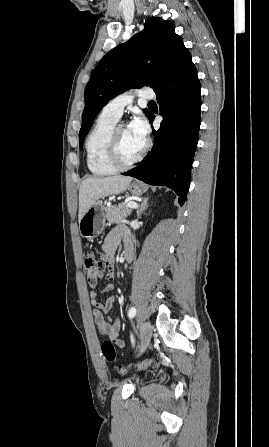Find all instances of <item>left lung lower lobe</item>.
<instances>
[{
  "label": "left lung lower lobe",
  "instance_id": "0a47b994",
  "mask_svg": "<svg viewBox=\"0 0 269 447\" xmlns=\"http://www.w3.org/2000/svg\"><path fill=\"white\" fill-rule=\"evenodd\" d=\"M156 95L164 120L158 131L153 129L155 144L142 164L123 175L151 185H165L175 191L183 205L201 122L200 81L187 49ZM147 117L152 123L155 116L150 113Z\"/></svg>",
  "mask_w": 269,
  "mask_h": 447
}]
</instances>
